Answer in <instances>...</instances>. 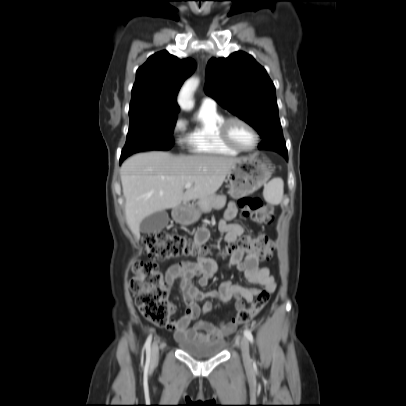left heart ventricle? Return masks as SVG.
Instances as JSON below:
<instances>
[{"mask_svg": "<svg viewBox=\"0 0 406 406\" xmlns=\"http://www.w3.org/2000/svg\"><path fill=\"white\" fill-rule=\"evenodd\" d=\"M231 139L242 148H250L254 145L255 137L248 127L239 123L233 122L229 127Z\"/></svg>", "mask_w": 406, "mask_h": 406, "instance_id": "b2bd125f", "label": "left heart ventricle"}]
</instances>
